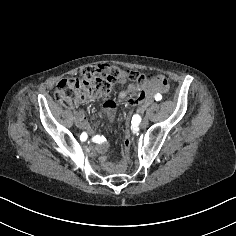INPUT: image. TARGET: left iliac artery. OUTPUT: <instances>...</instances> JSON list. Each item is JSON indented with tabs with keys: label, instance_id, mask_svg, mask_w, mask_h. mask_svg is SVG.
I'll list each match as a JSON object with an SVG mask.
<instances>
[{
	"label": "left iliac artery",
	"instance_id": "44dca946",
	"mask_svg": "<svg viewBox=\"0 0 236 236\" xmlns=\"http://www.w3.org/2000/svg\"><path fill=\"white\" fill-rule=\"evenodd\" d=\"M161 99H162V95L159 94V93H157V94L155 95V100H156V101H160Z\"/></svg>",
	"mask_w": 236,
	"mask_h": 236
}]
</instances>
